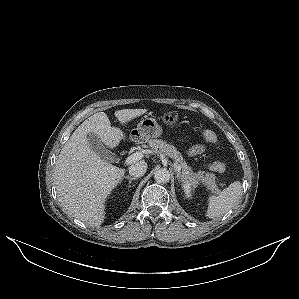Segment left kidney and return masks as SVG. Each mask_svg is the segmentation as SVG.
<instances>
[{
    "mask_svg": "<svg viewBox=\"0 0 299 299\" xmlns=\"http://www.w3.org/2000/svg\"><path fill=\"white\" fill-rule=\"evenodd\" d=\"M182 187L184 189L186 197L190 198L191 197V193H192L193 184H191L189 181H184Z\"/></svg>",
    "mask_w": 299,
    "mask_h": 299,
    "instance_id": "left-kidney-1",
    "label": "left kidney"
}]
</instances>
